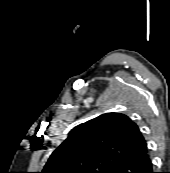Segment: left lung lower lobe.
<instances>
[{"label":"left lung lower lobe","instance_id":"1","mask_svg":"<svg viewBox=\"0 0 170 173\" xmlns=\"http://www.w3.org/2000/svg\"><path fill=\"white\" fill-rule=\"evenodd\" d=\"M114 173H154L148 150L122 163Z\"/></svg>","mask_w":170,"mask_h":173}]
</instances>
